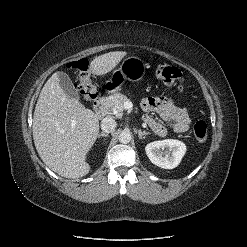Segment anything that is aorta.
I'll return each mask as SVG.
<instances>
[{
	"instance_id": "762f6f07",
	"label": "aorta",
	"mask_w": 247,
	"mask_h": 247,
	"mask_svg": "<svg viewBox=\"0 0 247 247\" xmlns=\"http://www.w3.org/2000/svg\"><path fill=\"white\" fill-rule=\"evenodd\" d=\"M132 139V135L128 131H122L119 134V141L122 144H128Z\"/></svg>"
}]
</instances>
